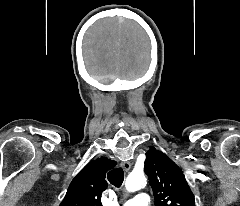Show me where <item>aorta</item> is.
<instances>
[{
    "instance_id": "1",
    "label": "aorta",
    "mask_w": 240,
    "mask_h": 206,
    "mask_svg": "<svg viewBox=\"0 0 240 206\" xmlns=\"http://www.w3.org/2000/svg\"><path fill=\"white\" fill-rule=\"evenodd\" d=\"M146 185V177L143 172H132L125 181V188L128 192H135Z\"/></svg>"
}]
</instances>
